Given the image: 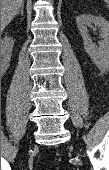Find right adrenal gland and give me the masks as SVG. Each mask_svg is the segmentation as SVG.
I'll list each match as a JSON object with an SVG mask.
<instances>
[{"instance_id":"2a0ac1e0","label":"right adrenal gland","mask_w":109,"mask_h":170,"mask_svg":"<svg viewBox=\"0 0 109 170\" xmlns=\"http://www.w3.org/2000/svg\"><path fill=\"white\" fill-rule=\"evenodd\" d=\"M19 13L23 16L24 15V3L21 4L20 10L17 12V15H19Z\"/></svg>"}]
</instances>
